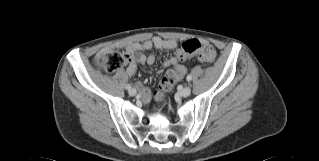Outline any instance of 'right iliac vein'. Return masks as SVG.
<instances>
[{"label": "right iliac vein", "mask_w": 319, "mask_h": 161, "mask_svg": "<svg viewBox=\"0 0 319 161\" xmlns=\"http://www.w3.org/2000/svg\"><path fill=\"white\" fill-rule=\"evenodd\" d=\"M129 94H130L131 96H135V95L137 94L136 89H134V88L130 89V90H129Z\"/></svg>", "instance_id": "obj_1"}]
</instances>
